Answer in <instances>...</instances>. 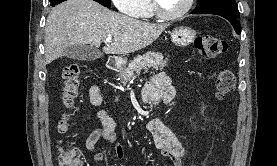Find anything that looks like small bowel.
Listing matches in <instances>:
<instances>
[{"instance_id": "c3829d8e", "label": "small bowel", "mask_w": 277, "mask_h": 166, "mask_svg": "<svg viewBox=\"0 0 277 166\" xmlns=\"http://www.w3.org/2000/svg\"><path fill=\"white\" fill-rule=\"evenodd\" d=\"M89 96L94 106L101 107L103 98L98 86L91 87ZM174 96L175 90L169 77L164 73L156 74L152 78V82L146 85L142 91V98L146 102H154L156 99V101L163 100L170 103ZM98 117L100 126L90 132L85 142L86 148L90 151L96 150L100 142L114 143L116 138L115 121L104 109L98 111ZM148 128L162 155L169 159L173 166H183L182 159L185 148L180 138L159 119L152 120ZM110 152L117 158L123 157V149L119 144H114ZM106 155V152L98 151L94 155V160L96 162L102 161Z\"/></svg>"}]
</instances>
